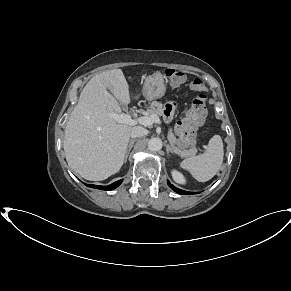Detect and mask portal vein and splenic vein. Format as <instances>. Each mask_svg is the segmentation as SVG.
<instances>
[{
    "label": "portal vein and splenic vein",
    "mask_w": 291,
    "mask_h": 291,
    "mask_svg": "<svg viewBox=\"0 0 291 291\" xmlns=\"http://www.w3.org/2000/svg\"><path fill=\"white\" fill-rule=\"evenodd\" d=\"M109 116L118 123H124L129 125H136L137 123H139L144 126H150L153 123H160V119L157 115L143 116L137 119H132L129 114L124 113L122 114L109 113Z\"/></svg>",
    "instance_id": "1"
}]
</instances>
